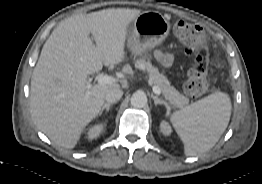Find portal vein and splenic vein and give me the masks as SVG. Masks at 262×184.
Listing matches in <instances>:
<instances>
[{
    "label": "portal vein and splenic vein",
    "mask_w": 262,
    "mask_h": 184,
    "mask_svg": "<svg viewBox=\"0 0 262 184\" xmlns=\"http://www.w3.org/2000/svg\"><path fill=\"white\" fill-rule=\"evenodd\" d=\"M116 78L112 77V76H109V75H100L98 78H97V82L99 84H108V83H114L116 82ZM153 92L156 94V95H160L161 94V90L158 86L154 85L153 86Z\"/></svg>",
    "instance_id": "portal-vein-and-splenic-vein-1"
}]
</instances>
